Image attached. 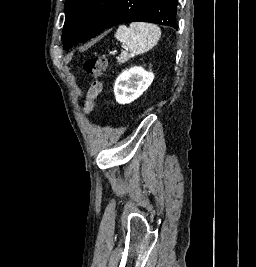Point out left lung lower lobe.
I'll list each match as a JSON object with an SVG mask.
<instances>
[{"instance_id": "1", "label": "left lung lower lobe", "mask_w": 256, "mask_h": 267, "mask_svg": "<svg viewBox=\"0 0 256 267\" xmlns=\"http://www.w3.org/2000/svg\"><path fill=\"white\" fill-rule=\"evenodd\" d=\"M177 3H178V0H175V4H176V13H177ZM177 23V22H176ZM178 27V26H177ZM178 29V28H177Z\"/></svg>"}]
</instances>
